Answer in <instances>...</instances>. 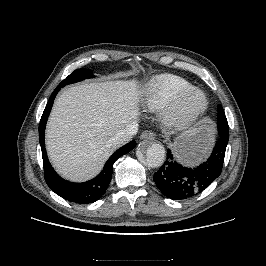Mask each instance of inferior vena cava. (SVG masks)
Segmentation results:
<instances>
[{
    "label": "inferior vena cava",
    "instance_id": "obj_1",
    "mask_svg": "<svg viewBox=\"0 0 266 266\" xmlns=\"http://www.w3.org/2000/svg\"><path fill=\"white\" fill-rule=\"evenodd\" d=\"M137 132L138 124L136 122H131L124 129H121L111 137L109 142L113 147L118 148L128 143Z\"/></svg>",
    "mask_w": 266,
    "mask_h": 266
}]
</instances>
